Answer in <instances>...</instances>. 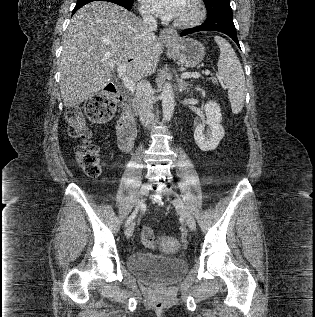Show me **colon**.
Masks as SVG:
<instances>
[{
    "mask_svg": "<svg viewBox=\"0 0 315 317\" xmlns=\"http://www.w3.org/2000/svg\"><path fill=\"white\" fill-rule=\"evenodd\" d=\"M116 110V94L108 88L91 97L84 107L85 115L94 121L105 122L110 120ZM69 125V133L79 140L76 148V159L79 166L88 177L95 178L101 171L99 148L91 140V131L87 127L84 113L78 106H71L65 113ZM141 239L149 246L154 244V231L150 227L141 229Z\"/></svg>",
    "mask_w": 315,
    "mask_h": 317,
    "instance_id": "colon-1",
    "label": "colon"
}]
</instances>
